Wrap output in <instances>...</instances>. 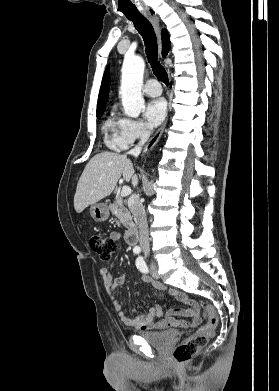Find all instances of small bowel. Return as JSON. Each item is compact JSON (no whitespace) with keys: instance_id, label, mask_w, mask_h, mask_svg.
<instances>
[{"instance_id":"small-bowel-1","label":"small bowel","mask_w":279,"mask_h":391,"mask_svg":"<svg viewBox=\"0 0 279 391\" xmlns=\"http://www.w3.org/2000/svg\"><path fill=\"white\" fill-rule=\"evenodd\" d=\"M110 238L118 240L120 238V234L118 232H112L110 233ZM100 275L106 292L112 299L113 307L117 312L119 319L127 327H131L137 330L167 329L176 327L183 329H191L198 326L202 322L199 305L193 299L189 298L186 294L178 290L167 289L160 282L153 280L150 277H144L143 281L153 286L161 293H168L176 300L182 302L186 305V309L170 310L166 313V318L158 322H154V319L163 316V310L159 305L150 308L147 312L143 314H139L136 308H133V316L129 317L122 310L120 302L114 296L116 286L124 284L125 276L123 274L113 275L106 268H102L100 270ZM182 317H185L187 319H184Z\"/></svg>"}]
</instances>
